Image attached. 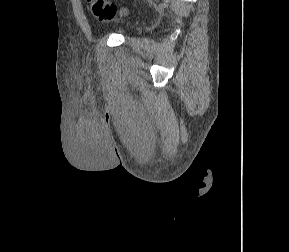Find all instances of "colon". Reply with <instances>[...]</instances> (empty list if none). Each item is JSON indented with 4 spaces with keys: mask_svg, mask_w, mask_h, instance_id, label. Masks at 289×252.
I'll return each instance as SVG.
<instances>
[{
    "mask_svg": "<svg viewBox=\"0 0 289 252\" xmlns=\"http://www.w3.org/2000/svg\"><path fill=\"white\" fill-rule=\"evenodd\" d=\"M86 2L92 15L100 21H113L122 12L108 0H86Z\"/></svg>",
    "mask_w": 289,
    "mask_h": 252,
    "instance_id": "5ec220e1",
    "label": "colon"
}]
</instances>
